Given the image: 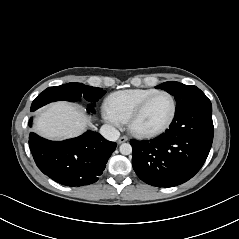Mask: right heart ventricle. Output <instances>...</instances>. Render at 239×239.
Wrapping results in <instances>:
<instances>
[{
  "mask_svg": "<svg viewBox=\"0 0 239 239\" xmlns=\"http://www.w3.org/2000/svg\"><path fill=\"white\" fill-rule=\"evenodd\" d=\"M156 89H127L111 93L105 100V109L120 119L127 121L135 107Z\"/></svg>",
  "mask_w": 239,
  "mask_h": 239,
  "instance_id": "right-heart-ventricle-1",
  "label": "right heart ventricle"
}]
</instances>
